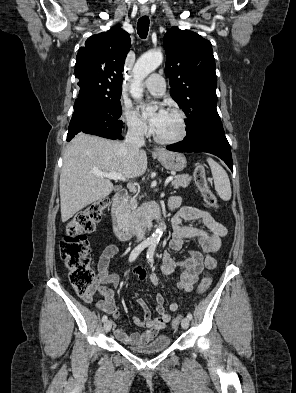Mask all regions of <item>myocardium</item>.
<instances>
[{
	"mask_svg": "<svg viewBox=\"0 0 296 393\" xmlns=\"http://www.w3.org/2000/svg\"><path fill=\"white\" fill-rule=\"evenodd\" d=\"M168 112L175 114L179 117L180 132L177 136H175L173 138H161L154 131L153 136H154L155 141L160 144H164V145L179 143L185 139V137L187 136V133H188V123H187V118H186L185 113L182 110L176 109V108L170 109Z\"/></svg>",
	"mask_w": 296,
	"mask_h": 393,
	"instance_id": "1",
	"label": "myocardium"
}]
</instances>
